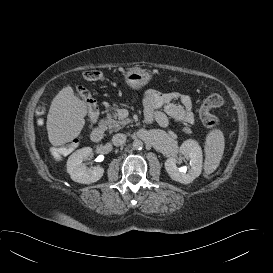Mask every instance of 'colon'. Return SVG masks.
I'll return each mask as SVG.
<instances>
[{"label": "colon", "mask_w": 273, "mask_h": 273, "mask_svg": "<svg viewBox=\"0 0 273 273\" xmlns=\"http://www.w3.org/2000/svg\"><path fill=\"white\" fill-rule=\"evenodd\" d=\"M83 77L88 81H100L103 78V72L96 68L87 69L84 71ZM76 92L87 105L90 122H95L99 111L91 92L84 86H78L76 88ZM223 102V98L218 94H212L203 100L199 107L198 113L200 120L205 126L215 127L219 125L218 118L210 113V109L222 106ZM39 112H41V109H39Z\"/></svg>", "instance_id": "obj_1"}]
</instances>
